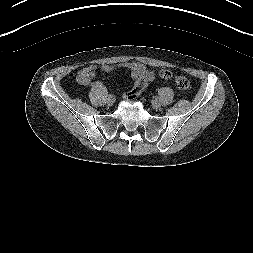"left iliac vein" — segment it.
Masks as SVG:
<instances>
[{
  "mask_svg": "<svg viewBox=\"0 0 253 253\" xmlns=\"http://www.w3.org/2000/svg\"><path fill=\"white\" fill-rule=\"evenodd\" d=\"M152 105L154 109H159L160 108V103L159 102H155L154 100L152 101Z\"/></svg>",
  "mask_w": 253,
  "mask_h": 253,
  "instance_id": "obj_1",
  "label": "left iliac vein"
}]
</instances>
